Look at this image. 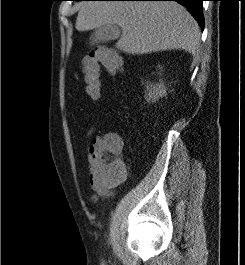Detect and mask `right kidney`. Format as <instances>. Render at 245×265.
I'll return each mask as SVG.
<instances>
[{
	"label": "right kidney",
	"instance_id": "obj_1",
	"mask_svg": "<svg viewBox=\"0 0 245 265\" xmlns=\"http://www.w3.org/2000/svg\"><path fill=\"white\" fill-rule=\"evenodd\" d=\"M146 87H147V94L145 95V99L148 102L149 101L155 102L160 97L162 98L163 96L166 95V87L162 82L157 84L147 83Z\"/></svg>",
	"mask_w": 245,
	"mask_h": 265
}]
</instances>
